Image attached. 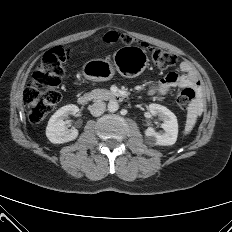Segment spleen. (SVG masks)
Instances as JSON below:
<instances>
[{"label": "spleen", "instance_id": "3e777b00", "mask_svg": "<svg viewBox=\"0 0 232 232\" xmlns=\"http://www.w3.org/2000/svg\"><path fill=\"white\" fill-rule=\"evenodd\" d=\"M197 114H198V106L197 103L193 101L189 104L187 111V119H186V125L184 130L185 134H189L193 129L197 120Z\"/></svg>", "mask_w": 232, "mask_h": 232}]
</instances>
